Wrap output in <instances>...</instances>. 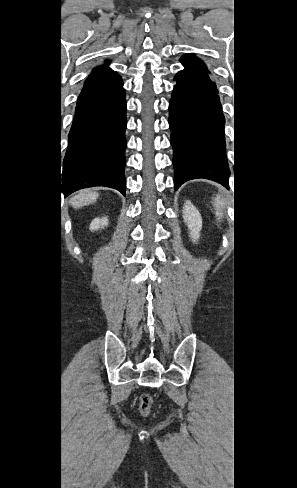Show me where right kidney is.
Here are the masks:
<instances>
[{"instance_id": "obj_1", "label": "right kidney", "mask_w": 297, "mask_h": 488, "mask_svg": "<svg viewBox=\"0 0 297 488\" xmlns=\"http://www.w3.org/2000/svg\"><path fill=\"white\" fill-rule=\"evenodd\" d=\"M107 225H108L107 217L95 218L90 224V230L91 231L98 230L104 228L105 226L107 227Z\"/></svg>"}]
</instances>
